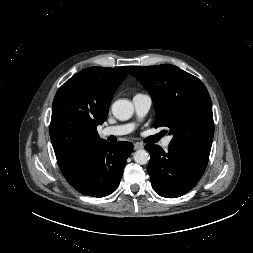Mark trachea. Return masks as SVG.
<instances>
[{
    "instance_id": "3493384b",
    "label": "trachea",
    "mask_w": 253,
    "mask_h": 253,
    "mask_svg": "<svg viewBox=\"0 0 253 253\" xmlns=\"http://www.w3.org/2000/svg\"><path fill=\"white\" fill-rule=\"evenodd\" d=\"M161 137H162V134H161V133H159V134H157V135H154V136H152V137L149 138V142H150V143H155V142H157Z\"/></svg>"
}]
</instances>
